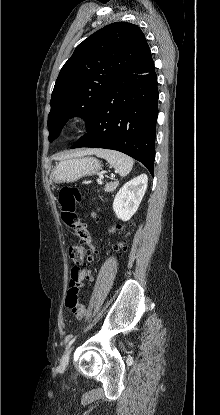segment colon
I'll return each instance as SVG.
<instances>
[{
	"instance_id": "1",
	"label": "colon",
	"mask_w": 220,
	"mask_h": 415,
	"mask_svg": "<svg viewBox=\"0 0 220 415\" xmlns=\"http://www.w3.org/2000/svg\"><path fill=\"white\" fill-rule=\"evenodd\" d=\"M81 200V194L74 187H66L60 191L59 204L61 207V218L66 226H68L79 238L80 241L72 244L68 248V256L74 263L71 269V280L66 297V306L77 309L80 313H86V307L79 301V292L83 286V281L79 271V265L87 260L90 266L93 261V244L92 239L85 228L77 219L75 205ZM121 246V244H120ZM86 278L90 279L91 274L87 269Z\"/></svg>"
}]
</instances>
